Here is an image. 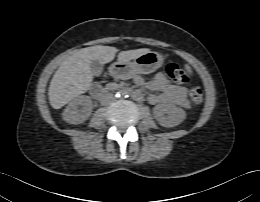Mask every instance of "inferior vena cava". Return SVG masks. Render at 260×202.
Returning a JSON list of instances; mask_svg holds the SVG:
<instances>
[{
	"mask_svg": "<svg viewBox=\"0 0 260 202\" xmlns=\"http://www.w3.org/2000/svg\"><path fill=\"white\" fill-rule=\"evenodd\" d=\"M115 97L112 93H107V94H104L101 98V104L102 105H108L110 104L112 101H114Z\"/></svg>",
	"mask_w": 260,
	"mask_h": 202,
	"instance_id": "1",
	"label": "inferior vena cava"
}]
</instances>
